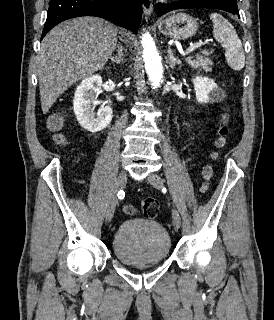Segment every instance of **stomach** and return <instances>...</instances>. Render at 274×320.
I'll return each instance as SVG.
<instances>
[{"instance_id": "stomach-1", "label": "stomach", "mask_w": 274, "mask_h": 320, "mask_svg": "<svg viewBox=\"0 0 274 320\" xmlns=\"http://www.w3.org/2000/svg\"><path fill=\"white\" fill-rule=\"evenodd\" d=\"M157 28L163 36L173 38V40H187L195 36L199 26L196 18H191L188 14H173L166 20H160Z\"/></svg>"}]
</instances>
